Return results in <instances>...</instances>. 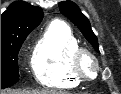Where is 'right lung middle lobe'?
Returning a JSON list of instances; mask_svg holds the SVG:
<instances>
[{
  "instance_id": "right-lung-middle-lobe-1",
  "label": "right lung middle lobe",
  "mask_w": 121,
  "mask_h": 94,
  "mask_svg": "<svg viewBox=\"0 0 121 94\" xmlns=\"http://www.w3.org/2000/svg\"><path fill=\"white\" fill-rule=\"evenodd\" d=\"M30 32H22L1 40V88H7L19 81L18 52Z\"/></svg>"
}]
</instances>
